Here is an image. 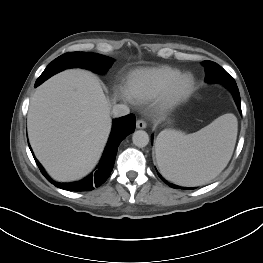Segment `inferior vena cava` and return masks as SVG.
Returning a JSON list of instances; mask_svg holds the SVG:
<instances>
[{
  "instance_id": "602c4592",
  "label": "inferior vena cava",
  "mask_w": 263,
  "mask_h": 263,
  "mask_svg": "<svg viewBox=\"0 0 263 263\" xmlns=\"http://www.w3.org/2000/svg\"><path fill=\"white\" fill-rule=\"evenodd\" d=\"M129 108L124 104H116L113 106L112 114L114 117H121L129 114Z\"/></svg>"
}]
</instances>
